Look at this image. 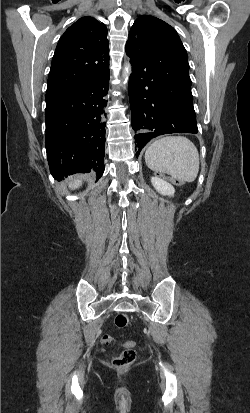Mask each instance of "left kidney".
I'll list each match as a JSON object with an SVG mask.
<instances>
[{
  "label": "left kidney",
  "mask_w": 250,
  "mask_h": 413,
  "mask_svg": "<svg viewBox=\"0 0 250 413\" xmlns=\"http://www.w3.org/2000/svg\"><path fill=\"white\" fill-rule=\"evenodd\" d=\"M151 183L158 193L163 196H174V187L159 177H152Z\"/></svg>",
  "instance_id": "obj_1"
}]
</instances>
